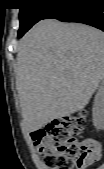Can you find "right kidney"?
I'll list each match as a JSON object with an SVG mask.
<instances>
[{
  "instance_id": "ca27d5eb",
  "label": "right kidney",
  "mask_w": 104,
  "mask_h": 169,
  "mask_svg": "<svg viewBox=\"0 0 104 169\" xmlns=\"http://www.w3.org/2000/svg\"><path fill=\"white\" fill-rule=\"evenodd\" d=\"M93 124L97 129L104 127V84L102 83L94 98L93 110Z\"/></svg>"
}]
</instances>
